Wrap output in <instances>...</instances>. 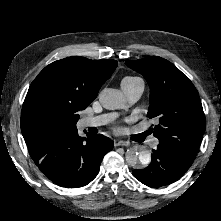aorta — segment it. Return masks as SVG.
<instances>
[{
    "label": "aorta",
    "mask_w": 221,
    "mask_h": 221,
    "mask_svg": "<svg viewBox=\"0 0 221 221\" xmlns=\"http://www.w3.org/2000/svg\"><path fill=\"white\" fill-rule=\"evenodd\" d=\"M99 101L105 109L115 110L123 107V94L113 88H106L99 94ZM125 158L127 163L133 168L147 166L151 162V153L142 146H133L127 149Z\"/></svg>",
    "instance_id": "1"
}]
</instances>
